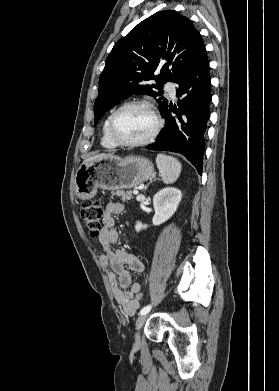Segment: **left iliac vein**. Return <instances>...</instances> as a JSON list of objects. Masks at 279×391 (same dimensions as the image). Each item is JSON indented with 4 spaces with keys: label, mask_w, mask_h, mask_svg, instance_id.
Segmentation results:
<instances>
[{
    "label": "left iliac vein",
    "mask_w": 279,
    "mask_h": 391,
    "mask_svg": "<svg viewBox=\"0 0 279 391\" xmlns=\"http://www.w3.org/2000/svg\"><path fill=\"white\" fill-rule=\"evenodd\" d=\"M148 318V314L140 315L136 320V332H135V346L139 347L141 340H140V329L144 325Z\"/></svg>",
    "instance_id": "4c4485c4"
}]
</instances>
